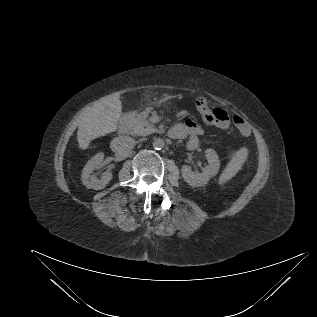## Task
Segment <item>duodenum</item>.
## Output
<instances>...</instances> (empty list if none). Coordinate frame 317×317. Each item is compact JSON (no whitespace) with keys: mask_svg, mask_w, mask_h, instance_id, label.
Segmentation results:
<instances>
[{"mask_svg":"<svg viewBox=\"0 0 317 317\" xmlns=\"http://www.w3.org/2000/svg\"><path fill=\"white\" fill-rule=\"evenodd\" d=\"M129 128V119L127 116L121 118L118 126L119 133H126Z\"/></svg>","mask_w":317,"mask_h":317,"instance_id":"duodenum-1","label":"duodenum"}]
</instances>
